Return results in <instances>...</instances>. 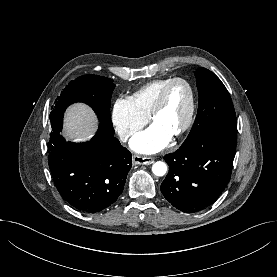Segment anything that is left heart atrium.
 I'll list each match as a JSON object with an SVG mask.
<instances>
[{
  "label": "left heart atrium",
  "instance_id": "obj_1",
  "mask_svg": "<svg viewBox=\"0 0 277 277\" xmlns=\"http://www.w3.org/2000/svg\"><path fill=\"white\" fill-rule=\"evenodd\" d=\"M171 137V133L153 123L149 128L132 138L130 147L138 153L153 154L164 149L171 141Z\"/></svg>",
  "mask_w": 277,
  "mask_h": 277
}]
</instances>
